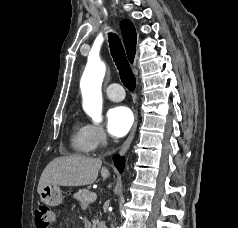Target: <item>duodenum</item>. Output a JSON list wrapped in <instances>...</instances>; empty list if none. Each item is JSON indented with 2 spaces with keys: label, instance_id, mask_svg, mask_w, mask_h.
I'll return each instance as SVG.
<instances>
[{
  "label": "duodenum",
  "instance_id": "duodenum-1",
  "mask_svg": "<svg viewBox=\"0 0 238 228\" xmlns=\"http://www.w3.org/2000/svg\"><path fill=\"white\" fill-rule=\"evenodd\" d=\"M97 228H107L105 225H103V224H99L98 226H97Z\"/></svg>",
  "mask_w": 238,
  "mask_h": 228
}]
</instances>
